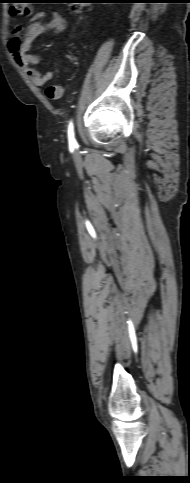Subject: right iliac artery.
<instances>
[{
	"mask_svg": "<svg viewBox=\"0 0 190 483\" xmlns=\"http://www.w3.org/2000/svg\"><path fill=\"white\" fill-rule=\"evenodd\" d=\"M68 139H69V145L70 146H75L76 145V140L74 138V129H73V123L70 122L69 127H68Z\"/></svg>",
	"mask_w": 190,
	"mask_h": 483,
	"instance_id": "right-iliac-artery-1",
	"label": "right iliac artery"
}]
</instances>
